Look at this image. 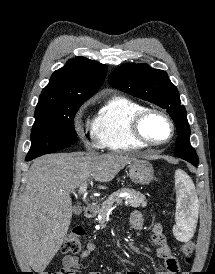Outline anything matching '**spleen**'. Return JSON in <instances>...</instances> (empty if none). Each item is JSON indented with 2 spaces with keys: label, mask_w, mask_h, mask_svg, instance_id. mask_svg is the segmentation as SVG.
Wrapping results in <instances>:
<instances>
[{
  "label": "spleen",
  "mask_w": 215,
  "mask_h": 274,
  "mask_svg": "<svg viewBox=\"0 0 215 274\" xmlns=\"http://www.w3.org/2000/svg\"><path fill=\"white\" fill-rule=\"evenodd\" d=\"M175 189L177 204L174 234L180 241H188L196 223L198 199L192 179L183 170L175 172Z\"/></svg>",
  "instance_id": "3e777b00"
}]
</instances>
